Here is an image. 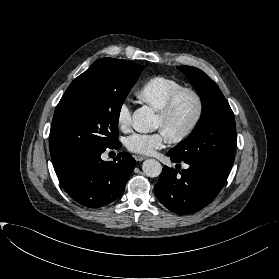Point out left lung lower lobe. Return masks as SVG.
Listing matches in <instances>:
<instances>
[{
  "mask_svg": "<svg viewBox=\"0 0 279 279\" xmlns=\"http://www.w3.org/2000/svg\"><path fill=\"white\" fill-rule=\"evenodd\" d=\"M169 156L173 162H181L173 155ZM185 163L189 168L181 171L164 167L155 186L158 200L180 215L195 213L211 203L229 175L209 164Z\"/></svg>",
  "mask_w": 279,
  "mask_h": 279,
  "instance_id": "obj_1",
  "label": "left lung lower lobe"
}]
</instances>
